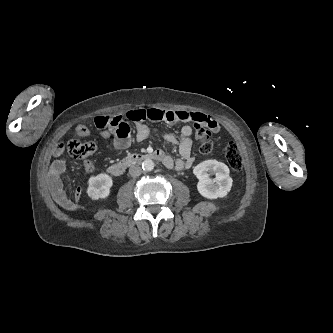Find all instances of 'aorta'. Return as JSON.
<instances>
[{"mask_svg": "<svg viewBox=\"0 0 333 333\" xmlns=\"http://www.w3.org/2000/svg\"><path fill=\"white\" fill-rule=\"evenodd\" d=\"M154 162L151 159H145L142 163V168L144 171L149 172L154 169Z\"/></svg>", "mask_w": 333, "mask_h": 333, "instance_id": "762f6f07", "label": "aorta"}]
</instances>
